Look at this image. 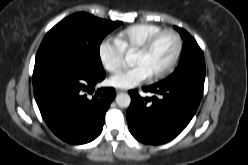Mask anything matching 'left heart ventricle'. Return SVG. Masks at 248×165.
Listing matches in <instances>:
<instances>
[{"label":"left heart ventricle","mask_w":248,"mask_h":165,"mask_svg":"<svg viewBox=\"0 0 248 165\" xmlns=\"http://www.w3.org/2000/svg\"><path fill=\"white\" fill-rule=\"evenodd\" d=\"M175 49V38L171 35H166L148 53H135L133 65H143L152 76L170 61Z\"/></svg>","instance_id":"1"}]
</instances>
